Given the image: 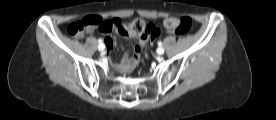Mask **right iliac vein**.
I'll list each match as a JSON object with an SVG mask.
<instances>
[{"instance_id":"63e3f726","label":"right iliac vein","mask_w":276,"mask_h":120,"mask_svg":"<svg viewBox=\"0 0 276 120\" xmlns=\"http://www.w3.org/2000/svg\"><path fill=\"white\" fill-rule=\"evenodd\" d=\"M104 49H105L104 44H101V45L98 46V50L99 51H103Z\"/></svg>"}]
</instances>
